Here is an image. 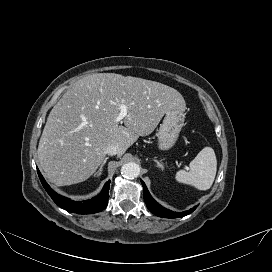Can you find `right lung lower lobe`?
Masks as SVG:
<instances>
[{"mask_svg":"<svg viewBox=\"0 0 272 272\" xmlns=\"http://www.w3.org/2000/svg\"><path fill=\"white\" fill-rule=\"evenodd\" d=\"M38 175L41 180V183L53 201L62 209H65L69 212L78 213V214H92L102 211L108 204L109 198V186L110 180L106 182L102 191L96 197L86 201H73L69 198L58 195L51 187L46 183L43 176L38 170Z\"/></svg>","mask_w":272,"mask_h":272,"instance_id":"obj_1","label":"right lung lower lobe"}]
</instances>
